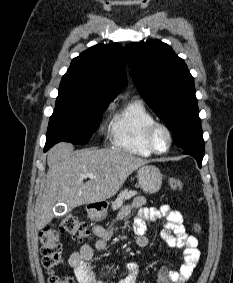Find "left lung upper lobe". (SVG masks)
<instances>
[{
    "label": "left lung upper lobe",
    "instance_id": "1",
    "mask_svg": "<svg viewBox=\"0 0 233 283\" xmlns=\"http://www.w3.org/2000/svg\"><path fill=\"white\" fill-rule=\"evenodd\" d=\"M134 83L183 150L204 149L194 79L183 59L160 40L125 47Z\"/></svg>",
    "mask_w": 233,
    "mask_h": 283
}]
</instances>
